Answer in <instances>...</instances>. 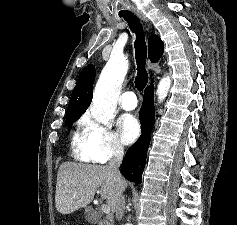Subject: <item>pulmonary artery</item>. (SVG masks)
I'll return each mask as SVG.
<instances>
[{
    "label": "pulmonary artery",
    "mask_w": 237,
    "mask_h": 225,
    "mask_svg": "<svg viewBox=\"0 0 237 225\" xmlns=\"http://www.w3.org/2000/svg\"><path fill=\"white\" fill-rule=\"evenodd\" d=\"M120 106L127 111L134 110L137 107V98L134 92L123 93L120 98Z\"/></svg>",
    "instance_id": "obj_1"
}]
</instances>
